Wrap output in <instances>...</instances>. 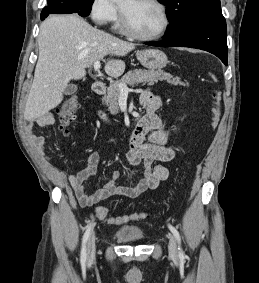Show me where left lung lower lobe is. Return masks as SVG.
<instances>
[{
  "mask_svg": "<svg viewBox=\"0 0 259 283\" xmlns=\"http://www.w3.org/2000/svg\"><path fill=\"white\" fill-rule=\"evenodd\" d=\"M158 47H191L216 55L227 65V27L222 13L208 16L191 27L177 33L166 34L159 42L146 43Z\"/></svg>",
  "mask_w": 259,
  "mask_h": 283,
  "instance_id": "left-lung-lower-lobe-1",
  "label": "left lung lower lobe"
}]
</instances>
